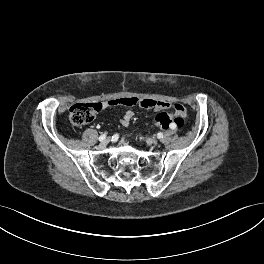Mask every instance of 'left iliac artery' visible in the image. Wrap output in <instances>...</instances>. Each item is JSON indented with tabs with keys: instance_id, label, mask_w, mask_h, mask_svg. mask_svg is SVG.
Masks as SVG:
<instances>
[{
	"instance_id": "obj_1",
	"label": "left iliac artery",
	"mask_w": 264,
	"mask_h": 264,
	"mask_svg": "<svg viewBox=\"0 0 264 264\" xmlns=\"http://www.w3.org/2000/svg\"><path fill=\"white\" fill-rule=\"evenodd\" d=\"M170 128H171V129H175V128H176V125L172 123V124L170 125Z\"/></svg>"
}]
</instances>
